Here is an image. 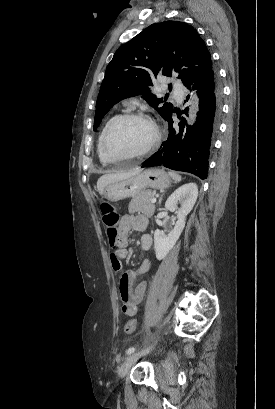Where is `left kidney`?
Returning <instances> with one entry per match:
<instances>
[{"label": "left kidney", "instance_id": "left-kidney-1", "mask_svg": "<svg viewBox=\"0 0 275 409\" xmlns=\"http://www.w3.org/2000/svg\"><path fill=\"white\" fill-rule=\"evenodd\" d=\"M198 196V186L196 182H187L176 188L171 196L165 202V209L177 213V223L173 231H170L168 237L162 231H155L154 233V249L156 259L162 261L168 255L169 251L173 249L176 241H178L184 227L188 213L193 209ZM177 205H181L178 209Z\"/></svg>", "mask_w": 275, "mask_h": 409}]
</instances>
